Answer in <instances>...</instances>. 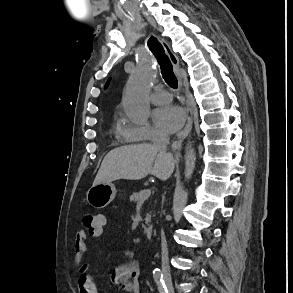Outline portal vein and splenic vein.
Masks as SVG:
<instances>
[{
	"label": "portal vein and splenic vein",
	"mask_w": 293,
	"mask_h": 293,
	"mask_svg": "<svg viewBox=\"0 0 293 293\" xmlns=\"http://www.w3.org/2000/svg\"><path fill=\"white\" fill-rule=\"evenodd\" d=\"M150 195H151V190L148 189V190L144 193V195L141 197V201H144V200L148 199Z\"/></svg>",
	"instance_id": "18ae733b"
}]
</instances>
